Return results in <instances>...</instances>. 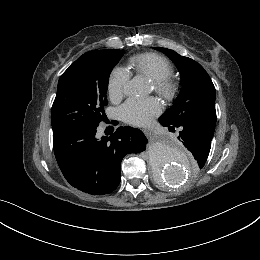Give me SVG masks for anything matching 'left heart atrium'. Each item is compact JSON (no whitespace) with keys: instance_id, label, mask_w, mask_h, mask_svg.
Returning <instances> with one entry per match:
<instances>
[{"instance_id":"left-heart-atrium-1","label":"left heart atrium","mask_w":260,"mask_h":260,"mask_svg":"<svg viewBox=\"0 0 260 260\" xmlns=\"http://www.w3.org/2000/svg\"><path fill=\"white\" fill-rule=\"evenodd\" d=\"M159 112L155 98H130L119 109L121 119L133 125H145Z\"/></svg>"}]
</instances>
